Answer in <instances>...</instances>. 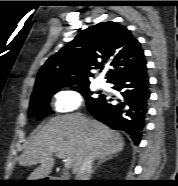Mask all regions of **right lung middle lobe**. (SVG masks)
Instances as JSON below:
<instances>
[{
    "instance_id": "dd1d6c3e",
    "label": "right lung middle lobe",
    "mask_w": 178,
    "mask_h": 186,
    "mask_svg": "<svg viewBox=\"0 0 178 186\" xmlns=\"http://www.w3.org/2000/svg\"><path fill=\"white\" fill-rule=\"evenodd\" d=\"M78 92H80L86 99V104L89 105L97 98L92 97V92L89 89V85H83L75 88ZM57 89H43L31 97L30 107L28 110L29 117L31 116H39L46 117L53 113V111L49 107V101L51 95L55 94Z\"/></svg>"
}]
</instances>
